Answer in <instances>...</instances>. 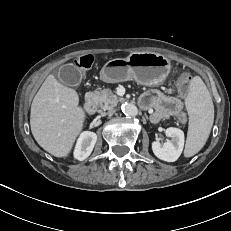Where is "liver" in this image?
<instances>
[{
  "instance_id": "obj_1",
  "label": "liver",
  "mask_w": 231,
  "mask_h": 231,
  "mask_svg": "<svg viewBox=\"0 0 231 231\" xmlns=\"http://www.w3.org/2000/svg\"><path fill=\"white\" fill-rule=\"evenodd\" d=\"M77 92L47 76L31 105L30 126L37 143L56 157H66L81 133L86 114Z\"/></svg>"
}]
</instances>
